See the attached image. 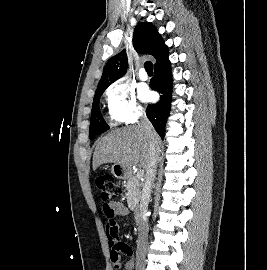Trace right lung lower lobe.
Here are the masks:
<instances>
[{"instance_id":"1","label":"right lung lower lobe","mask_w":267,"mask_h":270,"mask_svg":"<svg viewBox=\"0 0 267 270\" xmlns=\"http://www.w3.org/2000/svg\"><path fill=\"white\" fill-rule=\"evenodd\" d=\"M155 74L150 81V87L153 90L158 91L160 101L153 105H148L146 109V115L155 130L163 138L165 133L166 118L170 110L171 103V91H172V79L171 69L168 59L167 51L156 61Z\"/></svg>"}]
</instances>
